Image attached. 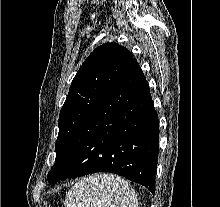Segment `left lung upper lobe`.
<instances>
[{"label":"left lung upper lobe","mask_w":220,"mask_h":207,"mask_svg":"<svg viewBox=\"0 0 220 207\" xmlns=\"http://www.w3.org/2000/svg\"><path fill=\"white\" fill-rule=\"evenodd\" d=\"M132 59L131 52L126 48L115 43H107L97 47L83 62L60 111L54 165L59 162L76 132L90 117Z\"/></svg>","instance_id":"obj_1"}]
</instances>
